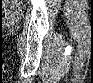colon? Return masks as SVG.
<instances>
[{
	"label": "colon",
	"instance_id": "colon-1",
	"mask_svg": "<svg viewBox=\"0 0 93 83\" xmlns=\"http://www.w3.org/2000/svg\"><path fill=\"white\" fill-rule=\"evenodd\" d=\"M24 2H22V1H8V2H5L4 3V10H6V7H8V6H15V5H21V4H23Z\"/></svg>",
	"mask_w": 93,
	"mask_h": 83
}]
</instances>
